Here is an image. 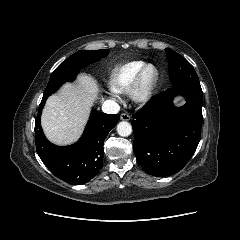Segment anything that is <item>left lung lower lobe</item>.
Returning <instances> with one entry per match:
<instances>
[{
    "mask_svg": "<svg viewBox=\"0 0 240 240\" xmlns=\"http://www.w3.org/2000/svg\"><path fill=\"white\" fill-rule=\"evenodd\" d=\"M176 95L187 101L178 109L172 104ZM202 96L200 83L176 84L133 115L134 153L148 174L172 175L193 156L201 137Z\"/></svg>",
    "mask_w": 240,
    "mask_h": 240,
    "instance_id": "1",
    "label": "left lung lower lobe"
}]
</instances>
